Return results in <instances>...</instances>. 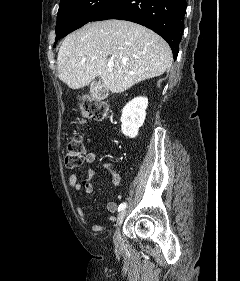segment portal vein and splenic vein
Listing matches in <instances>:
<instances>
[{"mask_svg":"<svg viewBox=\"0 0 240 281\" xmlns=\"http://www.w3.org/2000/svg\"><path fill=\"white\" fill-rule=\"evenodd\" d=\"M107 66H108V70H112L113 63H112V62H109Z\"/></svg>","mask_w":240,"mask_h":281,"instance_id":"1","label":"portal vein and splenic vein"}]
</instances>
